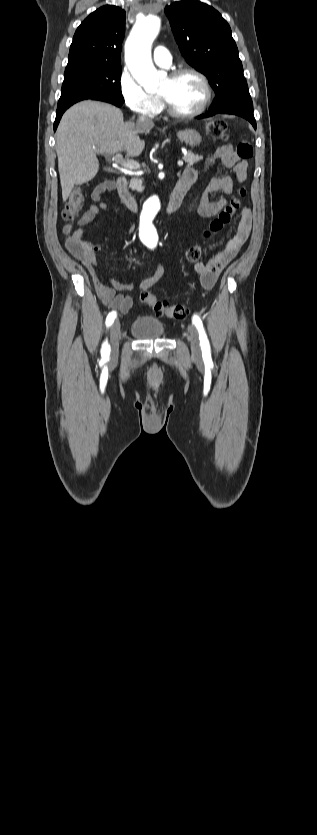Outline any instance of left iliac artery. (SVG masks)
<instances>
[{
    "label": "left iliac artery",
    "mask_w": 317,
    "mask_h": 835,
    "mask_svg": "<svg viewBox=\"0 0 317 835\" xmlns=\"http://www.w3.org/2000/svg\"><path fill=\"white\" fill-rule=\"evenodd\" d=\"M192 321H193V324L196 326V328L198 330V333H199L200 346H201V349H202L203 359L207 362H210L211 361L210 344H209L207 335L205 333L202 320L200 319V317L197 314H194L193 318H192Z\"/></svg>",
    "instance_id": "44dca946"
}]
</instances>
